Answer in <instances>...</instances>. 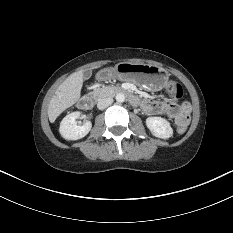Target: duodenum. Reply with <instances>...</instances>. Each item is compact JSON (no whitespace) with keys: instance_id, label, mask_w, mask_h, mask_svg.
Segmentation results:
<instances>
[{"instance_id":"410a0bca","label":"duodenum","mask_w":233,"mask_h":233,"mask_svg":"<svg viewBox=\"0 0 233 233\" xmlns=\"http://www.w3.org/2000/svg\"><path fill=\"white\" fill-rule=\"evenodd\" d=\"M112 91L117 94L126 95L128 100L134 105L139 103V98L125 88L115 87L112 89ZM95 101H96V97L93 94H86L79 99L78 105L82 109H90L95 104Z\"/></svg>"}]
</instances>
